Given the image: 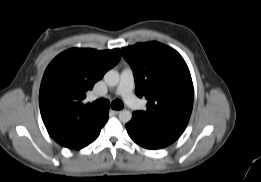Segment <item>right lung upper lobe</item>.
<instances>
[{
	"label": "right lung upper lobe",
	"mask_w": 261,
	"mask_h": 182,
	"mask_svg": "<svg viewBox=\"0 0 261 182\" xmlns=\"http://www.w3.org/2000/svg\"><path fill=\"white\" fill-rule=\"evenodd\" d=\"M120 56L119 49L72 48L48 65L40 86V112L48 133L60 145L78 146L100 120L103 111L82 101Z\"/></svg>",
	"instance_id": "cb5924a9"
}]
</instances>
